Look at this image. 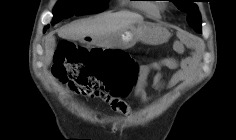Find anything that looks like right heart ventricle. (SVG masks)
<instances>
[{
	"label": "right heart ventricle",
	"mask_w": 236,
	"mask_h": 140,
	"mask_svg": "<svg viewBox=\"0 0 236 140\" xmlns=\"http://www.w3.org/2000/svg\"><path fill=\"white\" fill-rule=\"evenodd\" d=\"M149 1V0H146ZM128 3L129 6L145 15L157 16L159 14L158 6L150 2ZM133 2V1H132Z\"/></svg>",
	"instance_id": "e07e8e85"
}]
</instances>
